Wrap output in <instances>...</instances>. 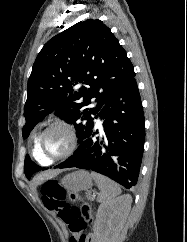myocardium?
<instances>
[{
	"label": "myocardium",
	"instance_id": "f54148a6",
	"mask_svg": "<svg viewBox=\"0 0 187 242\" xmlns=\"http://www.w3.org/2000/svg\"><path fill=\"white\" fill-rule=\"evenodd\" d=\"M54 128L63 129L67 133L68 146L63 153L56 155V156H49V155L45 154L43 147H42V143H43L45 136L48 134V132ZM77 144H78V136H77L75 127L70 122L63 120V119H57V120L51 122L40 133L39 138H38L39 152L50 163L53 161L61 160V159H64V158H67L68 156H70L75 151Z\"/></svg>",
	"mask_w": 187,
	"mask_h": 242
}]
</instances>
